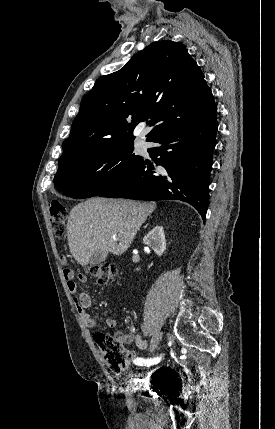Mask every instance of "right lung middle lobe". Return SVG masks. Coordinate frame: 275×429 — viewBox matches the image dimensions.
<instances>
[{"instance_id":"obj_1","label":"right lung middle lobe","mask_w":275,"mask_h":429,"mask_svg":"<svg viewBox=\"0 0 275 429\" xmlns=\"http://www.w3.org/2000/svg\"><path fill=\"white\" fill-rule=\"evenodd\" d=\"M133 149V141L126 140L85 153L60 166L54 183L72 198L97 196L140 162Z\"/></svg>"}]
</instances>
